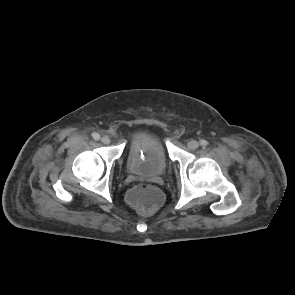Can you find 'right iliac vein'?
Wrapping results in <instances>:
<instances>
[{"label": "right iliac vein", "mask_w": 295, "mask_h": 295, "mask_svg": "<svg viewBox=\"0 0 295 295\" xmlns=\"http://www.w3.org/2000/svg\"><path fill=\"white\" fill-rule=\"evenodd\" d=\"M101 142H102L103 144H109V143H110V138H109L108 136H103V137L101 138Z\"/></svg>", "instance_id": "1"}]
</instances>
